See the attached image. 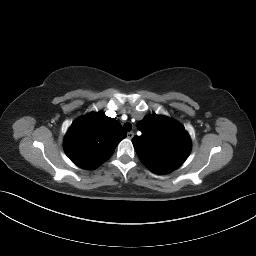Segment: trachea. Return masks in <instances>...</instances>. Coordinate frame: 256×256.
Instances as JSON below:
<instances>
[{
	"label": "trachea",
	"mask_w": 256,
	"mask_h": 256,
	"mask_svg": "<svg viewBox=\"0 0 256 256\" xmlns=\"http://www.w3.org/2000/svg\"><path fill=\"white\" fill-rule=\"evenodd\" d=\"M123 127H124V130L128 132L131 131L132 129L131 123H125Z\"/></svg>",
	"instance_id": "3493384b"
}]
</instances>
